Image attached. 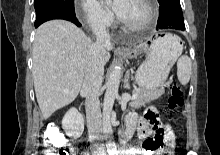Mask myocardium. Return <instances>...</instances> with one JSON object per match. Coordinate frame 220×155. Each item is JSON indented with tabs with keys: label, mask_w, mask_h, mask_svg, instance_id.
<instances>
[{
	"label": "myocardium",
	"mask_w": 220,
	"mask_h": 155,
	"mask_svg": "<svg viewBox=\"0 0 220 155\" xmlns=\"http://www.w3.org/2000/svg\"><path fill=\"white\" fill-rule=\"evenodd\" d=\"M139 2H141L145 6L146 11H147V17L142 23L137 24V25L129 24L123 21L122 22L123 26L128 30H132V31L144 30L149 25H151L155 19L156 5H155L154 0H139Z\"/></svg>",
	"instance_id": "obj_1"
}]
</instances>
